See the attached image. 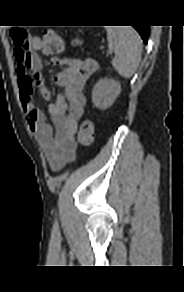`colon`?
<instances>
[{
	"instance_id": "colon-1",
	"label": "colon",
	"mask_w": 184,
	"mask_h": 292,
	"mask_svg": "<svg viewBox=\"0 0 184 292\" xmlns=\"http://www.w3.org/2000/svg\"><path fill=\"white\" fill-rule=\"evenodd\" d=\"M11 40L15 45V54L18 58L24 59L28 51L29 36L28 33L21 28H14L10 32ZM80 42L74 41V45L78 46ZM64 40L53 30H45L42 36L41 51L47 56H53L63 51ZM94 138V125L91 120H84L79 128L78 140L83 146H88Z\"/></svg>"
}]
</instances>
